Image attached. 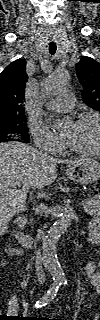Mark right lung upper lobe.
Segmentation results:
<instances>
[{"instance_id":"right-lung-upper-lobe-1","label":"right lung upper lobe","mask_w":100,"mask_h":320,"mask_svg":"<svg viewBox=\"0 0 100 320\" xmlns=\"http://www.w3.org/2000/svg\"><path fill=\"white\" fill-rule=\"evenodd\" d=\"M27 80L26 62L17 59L0 74V120L25 116V83Z\"/></svg>"}]
</instances>
